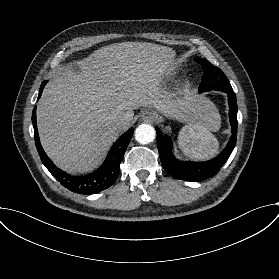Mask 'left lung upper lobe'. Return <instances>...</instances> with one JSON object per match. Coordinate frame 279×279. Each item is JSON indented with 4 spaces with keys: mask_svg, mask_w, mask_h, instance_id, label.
I'll use <instances>...</instances> for the list:
<instances>
[{
    "mask_svg": "<svg viewBox=\"0 0 279 279\" xmlns=\"http://www.w3.org/2000/svg\"><path fill=\"white\" fill-rule=\"evenodd\" d=\"M195 61L202 65L204 74L199 86V92L220 90L223 92L232 91V87L226 75L218 67L212 65L208 60L195 58Z\"/></svg>",
    "mask_w": 279,
    "mask_h": 279,
    "instance_id": "1",
    "label": "left lung upper lobe"
}]
</instances>
